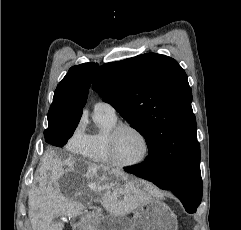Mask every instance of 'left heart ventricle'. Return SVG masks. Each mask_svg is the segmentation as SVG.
I'll use <instances>...</instances> for the list:
<instances>
[{"label": "left heart ventricle", "mask_w": 241, "mask_h": 230, "mask_svg": "<svg viewBox=\"0 0 241 230\" xmlns=\"http://www.w3.org/2000/svg\"><path fill=\"white\" fill-rule=\"evenodd\" d=\"M115 151L120 161L132 162L143 155L144 144L134 131L124 129L117 136Z\"/></svg>", "instance_id": "obj_1"}]
</instances>
